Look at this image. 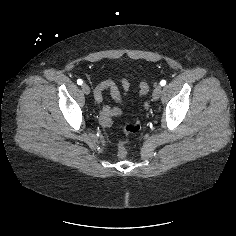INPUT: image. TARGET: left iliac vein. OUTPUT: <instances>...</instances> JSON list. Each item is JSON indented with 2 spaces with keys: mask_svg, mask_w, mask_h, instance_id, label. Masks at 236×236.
Wrapping results in <instances>:
<instances>
[{
  "mask_svg": "<svg viewBox=\"0 0 236 236\" xmlns=\"http://www.w3.org/2000/svg\"><path fill=\"white\" fill-rule=\"evenodd\" d=\"M161 94H162V87L160 85H156L152 93L153 99L158 100Z\"/></svg>",
  "mask_w": 236,
  "mask_h": 236,
  "instance_id": "obj_1",
  "label": "left iliac vein"
}]
</instances>
